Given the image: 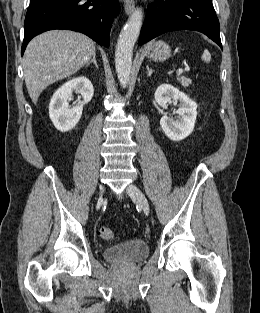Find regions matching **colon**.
Here are the masks:
<instances>
[{
    "label": "colon",
    "instance_id": "colon-1",
    "mask_svg": "<svg viewBox=\"0 0 260 313\" xmlns=\"http://www.w3.org/2000/svg\"><path fill=\"white\" fill-rule=\"evenodd\" d=\"M98 234L103 240L108 241V242H111L115 239L114 232L108 226H104V225L99 226Z\"/></svg>",
    "mask_w": 260,
    "mask_h": 313
}]
</instances>
